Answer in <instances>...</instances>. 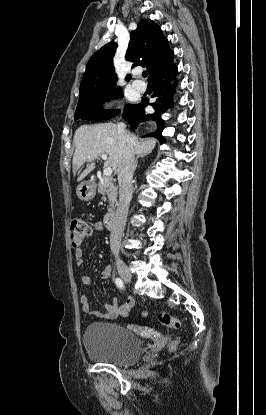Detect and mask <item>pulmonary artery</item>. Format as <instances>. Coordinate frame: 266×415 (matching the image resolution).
<instances>
[{"mask_svg":"<svg viewBox=\"0 0 266 415\" xmlns=\"http://www.w3.org/2000/svg\"><path fill=\"white\" fill-rule=\"evenodd\" d=\"M138 74V72H136ZM133 86L139 91H145L146 90V83L142 80H134Z\"/></svg>","mask_w":266,"mask_h":415,"instance_id":"pulmonary-artery-1","label":"pulmonary artery"}]
</instances>
